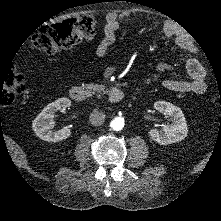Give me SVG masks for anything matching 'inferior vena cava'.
Masks as SVG:
<instances>
[{
    "mask_svg": "<svg viewBox=\"0 0 221 221\" xmlns=\"http://www.w3.org/2000/svg\"><path fill=\"white\" fill-rule=\"evenodd\" d=\"M106 121V116L102 111L94 110L89 116V122L93 126H102Z\"/></svg>",
    "mask_w": 221,
    "mask_h": 221,
    "instance_id": "1",
    "label": "inferior vena cava"
}]
</instances>
